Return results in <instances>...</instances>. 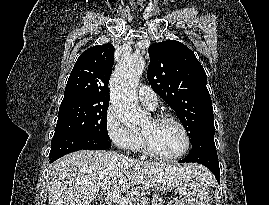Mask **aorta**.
<instances>
[{"label": "aorta", "mask_w": 269, "mask_h": 205, "mask_svg": "<svg viewBox=\"0 0 269 205\" xmlns=\"http://www.w3.org/2000/svg\"><path fill=\"white\" fill-rule=\"evenodd\" d=\"M144 67L145 60L142 56H124L110 82L112 109L122 124L132 128L141 125L147 119L136 97V87Z\"/></svg>", "instance_id": "aorta-1"}]
</instances>
